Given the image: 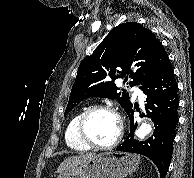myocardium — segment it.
<instances>
[{
	"instance_id": "obj_1",
	"label": "myocardium",
	"mask_w": 194,
	"mask_h": 178,
	"mask_svg": "<svg viewBox=\"0 0 194 178\" xmlns=\"http://www.w3.org/2000/svg\"><path fill=\"white\" fill-rule=\"evenodd\" d=\"M97 111H106L111 113L116 117L119 124V129L116 137L114 138L113 141H111L108 144L95 143L89 138V136L86 133V130H85L86 121L91 114ZM123 128H124V125H123V120L121 118V115L114 107L110 105H93L87 108L86 110H84L83 113L81 114L77 123L76 132L80 141H82L88 147L105 150V149H111L115 147L120 142L123 135Z\"/></svg>"
}]
</instances>
